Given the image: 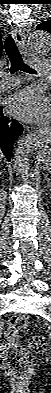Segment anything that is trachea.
Instances as JSON below:
<instances>
[{"instance_id": "obj_1", "label": "trachea", "mask_w": 51, "mask_h": 393, "mask_svg": "<svg viewBox=\"0 0 51 393\" xmlns=\"http://www.w3.org/2000/svg\"><path fill=\"white\" fill-rule=\"evenodd\" d=\"M4 48L8 58L11 62L10 73L14 74L17 71H23L30 74H36L37 72L25 64L22 60L21 54L16 46L15 40L11 34L6 36L4 41Z\"/></svg>"}]
</instances>
